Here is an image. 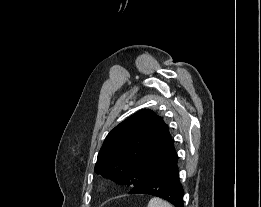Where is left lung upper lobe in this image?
<instances>
[{"mask_svg":"<svg viewBox=\"0 0 261 207\" xmlns=\"http://www.w3.org/2000/svg\"><path fill=\"white\" fill-rule=\"evenodd\" d=\"M177 159L168 126L152 110L143 109L110 131L94 170L118 184L134 187Z\"/></svg>","mask_w":261,"mask_h":207,"instance_id":"left-lung-upper-lobe-1","label":"left lung upper lobe"}]
</instances>
